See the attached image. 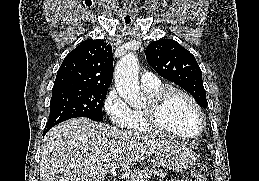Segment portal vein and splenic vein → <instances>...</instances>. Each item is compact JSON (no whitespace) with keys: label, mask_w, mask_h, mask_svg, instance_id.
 <instances>
[{"label":"portal vein and splenic vein","mask_w":259,"mask_h":181,"mask_svg":"<svg viewBox=\"0 0 259 181\" xmlns=\"http://www.w3.org/2000/svg\"><path fill=\"white\" fill-rule=\"evenodd\" d=\"M104 159H106L107 158V156H105V157H103Z\"/></svg>","instance_id":"18ae733b"}]
</instances>
